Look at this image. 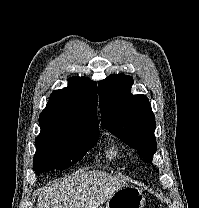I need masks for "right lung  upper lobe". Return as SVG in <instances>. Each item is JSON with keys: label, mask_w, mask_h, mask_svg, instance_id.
I'll list each match as a JSON object with an SVG mask.
<instances>
[{"label": "right lung upper lobe", "mask_w": 199, "mask_h": 208, "mask_svg": "<svg viewBox=\"0 0 199 208\" xmlns=\"http://www.w3.org/2000/svg\"><path fill=\"white\" fill-rule=\"evenodd\" d=\"M39 124L57 128H95L97 118V85L86 77H72L68 87L53 91Z\"/></svg>", "instance_id": "1"}]
</instances>
